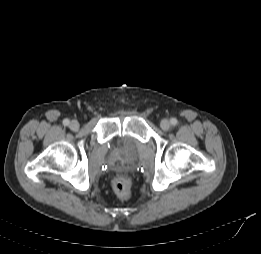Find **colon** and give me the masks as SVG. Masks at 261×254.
<instances>
[{
	"mask_svg": "<svg viewBox=\"0 0 261 254\" xmlns=\"http://www.w3.org/2000/svg\"><path fill=\"white\" fill-rule=\"evenodd\" d=\"M132 181L127 174H118L112 179V188L116 195L122 199L129 198Z\"/></svg>",
	"mask_w": 261,
	"mask_h": 254,
	"instance_id": "obj_1",
	"label": "colon"
}]
</instances>
